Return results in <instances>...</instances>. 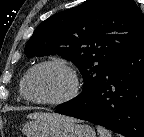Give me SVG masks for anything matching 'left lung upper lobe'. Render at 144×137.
I'll list each match as a JSON object with an SVG mask.
<instances>
[{
  "instance_id": "1",
  "label": "left lung upper lobe",
  "mask_w": 144,
  "mask_h": 137,
  "mask_svg": "<svg viewBox=\"0 0 144 137\" xmlns=\"http://www.w3.org/2000/svg\"><path fill=\"white\" fill-rule=\"evenodd\" d=\"M143 29L144 14L133 0H87L39 24L25 54L29 58L58 54L72 61L84 80L80 97L95 88Z\"/></svg>"
}]
</instances>
